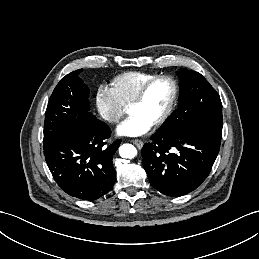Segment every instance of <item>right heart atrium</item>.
<instances>
[{
  "label": "right heart atrium",
  "instance_id": "1",
  "mask_svg": "<svg viewBox=\"0 0 259 259\" xmlns=\"http://www.w3.org/2000/svg\"><path fill=\"white\" fill-rule=\"evenodd\" d=\"M96 105L102 118L110 123L118 122L126 113V104L111 87L106 85L98 88Z\"/></svg>",
  "mask_w": 259,
  "mask_h": 259
}]
</instances>
